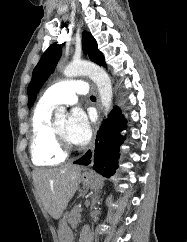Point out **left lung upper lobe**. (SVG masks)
<instances>
[{
  "label": "left lung upper lobe",
  "mask_w": 187,
  "mask_h": 242,
  "mask_svg": "<svg viewBox=\"0 0 187 242\" xmlns=\"http://www.w3.org/2000/svg\"><path fill=\"white\" fill-rule=\"evenodd\" d=\"M83 49L91 61L106 66L103 54L98 50L97 43L91 33L83 32ZM61 48L52 44L43 54L40 61L33 70L32 80L28 86V107L31 108L36 100L37 94L48 77L54 72L61 56Z\"/></svg>",
  "instance_id": "obj_1"
}]
</instances>
